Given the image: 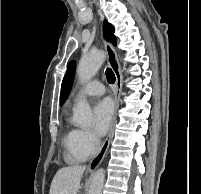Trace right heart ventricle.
Returning <instances> with one entry per match:
<instances>
[{"instance_id":"1","label":"right heart ventricle","mask_w":201,"mask_h":194,"mask_svg":"<svg viewBox=\"0 0 201 194\" xmlns=\"http://www.w3.org/2000/svg\"><path fill=\"white\" fill-rule=\"evenodd\" d=\"M77 132L78 129L74 128L70 123L67 124L63 137V146L65 158L69 163L83 162L90 156V153L84 152L77 146Z\"/></svg>"}]
</instances>
